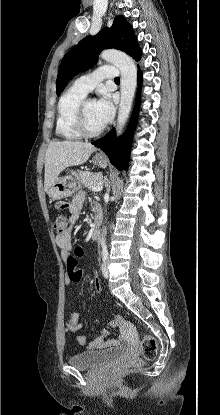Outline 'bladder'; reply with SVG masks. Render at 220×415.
Here are the masks:
<instances>
[{
	"label": "bladder",
	"instance_id": "31cf9c89",
	"mask_svg": "<svg viewBox=\"0 0 220 415\" xmlns=\"http://www.w3.org/2000/svg\"><path fill=\"white\" fill-rule=\"evenodd\" d=\"M125 351V348L120 347L100 351H83L72 356L69 363L75 368L90 369L122 358Z\"/></svg>",
	"mask_w": 220,
	"mask_h": 415
}]
</instances>
